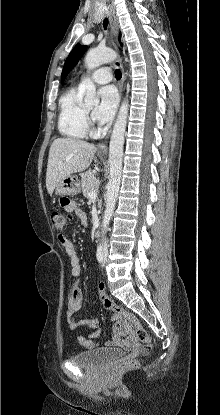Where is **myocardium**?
Masks as SVG:
<instances>
[{"label":"myocardium","mask_w":220,"mask_h":415,"mask_svg":"<svg viewBox=\"0 0 220 415\" xmlns=\"http://www.w3.org/2000/svg\"><path fill=\"white\" fill-rule=\"evenodd\" d=\"M85 114H86V117H88V111L85 109Z\"/></svg>","instance_id":"1"}]
</instances>
